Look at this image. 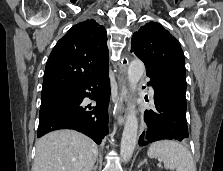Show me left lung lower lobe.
I'll return each instance as SVG.
<instances>
[{
    "mask_svg": "<svg viewBox=\"0 0 223 171\" xmlns=\"http://www.w3.org/2000/svg\"><path fill=\"white\" fill-rule=\"evenodd\" d=\"M147 76L154 90L155 107L145 111L147 127L139 138V145L145 146L163 139H187L185 91L163 78Z\"/></svg>",
    "mask_w": 223,
    "mask_h": 171,
    "instance_id": "obj_1",
    "label": "left lung lower lobe"
}]
</instances>
